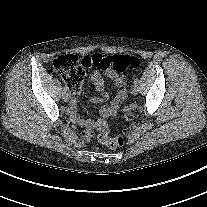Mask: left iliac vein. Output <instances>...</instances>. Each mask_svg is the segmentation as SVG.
Listing matches in <instances>:
<instances>
[{"label":"left iliac vein","instance_id":"4c4485c4","mask_svg":"<svg viewBox=\"0 0 207 207\" xmlns=\"http://www.w3.org/2000/svg\"><path fill=\"white\" fill-rule=\"evenodd\" d=\"M130 91H131V93L133 95H137L138 94V91H139L138 85L137 84H133L132 87H131V89H130Z\"/></svg>","mask_w":207,"mask_h":207}]
</instances>
